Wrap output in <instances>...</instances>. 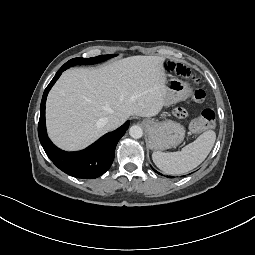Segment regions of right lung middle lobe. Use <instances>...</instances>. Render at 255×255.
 Here are the masks:
<instances>
[{
  "instance_id": "dd1d6c3e",
  "label": "right lung middle lobe",
  "mask_w": 255,
  "mask_h": 255,
  "mask_svg": "<svg viewBox=\"0 0 255 255\" xmlns=\"http://www.w3.org/2000/svg\"><path fill=\"white\" fill-rule=\"evenodd\" d=\"M113 57V55H100V56H97V57H92V58H81V57H78V58H74V59H71L69 60L67 63V65L69 66H74V65H88V64H96V63H99L101 61H104L106 59H109Z\"/></svg>"
}]
</instances>
